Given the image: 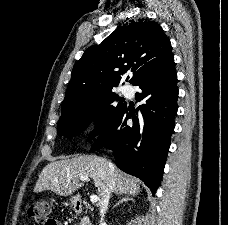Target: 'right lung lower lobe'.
Segmentation results:
<instances>
[{
    "instance_id": "right-lung-lower-lobe-1",
    "label": "right lung lower lobe",
    "mask_w": 228,
    "mask_h": 225,
    "mask_svg": "<svg viewBox=\"0 0 228 225\" xmlns=\"http://www.w3.org/2000/svg\"><path fill=\"white\" fill-rule=\"evenodd\" d=\"M135 86L142 90L136 93V100L142 103L139 113L125 106L112 124L97 135L90 151L112 149L116 165L144 181L154 195L162 180L177 112L173 54ZM128 119L133 120L132 126L126 124Z\"/></svg>"
}]
</instances>
